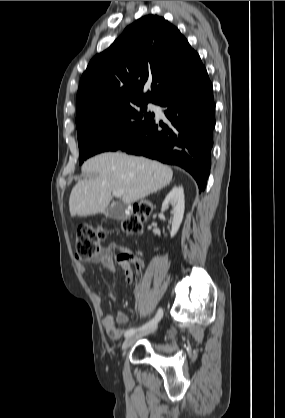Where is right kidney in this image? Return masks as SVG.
<instances>
[{"instance_id": "ca27d5eb", "label": "right kidney", "mask_w": 285, "mask_h": 418, "mask_svg": "<svg viewBox=\"0 0 285 418\" xmlns=\"http://www.w3.org/2000/svg\"><path fill=\"white\" fill-rule=\"evenodd\" d=\"M169 205H172L173 210V219L171 221L172 231L171 237H174L179 230V227L183 220L185 201H184V190L181 186H175L166 196L162 208H168Z\"/></svg>"}]
</instances>
